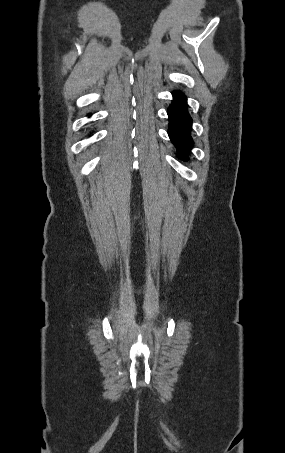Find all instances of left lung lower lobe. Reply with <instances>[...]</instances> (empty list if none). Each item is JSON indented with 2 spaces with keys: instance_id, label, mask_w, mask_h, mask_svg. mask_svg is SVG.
<instances>
[{
  "instance_id": "left-lung-lower-lobe-1",
  "label": "left lung lower lobe",
  "mask_w": 285,
  "mask_h": 453,
  "mask_svg": "<svg viewBox=\"0 0 285 453\" xmlns=\"http://www.w3.org/2000/svg\"><path fill=\"white\" fill-rule=\"evenodd\" d=\"M172 94L174 100L168 109V134L172 143L179 149L178 157L187 160L188 156L184 153L188 152L193 146L190 135L192 119L187 111L185 95L180 91H175Z\"/></svg>"
}]
</instances>
